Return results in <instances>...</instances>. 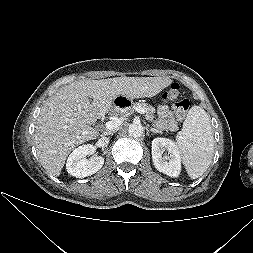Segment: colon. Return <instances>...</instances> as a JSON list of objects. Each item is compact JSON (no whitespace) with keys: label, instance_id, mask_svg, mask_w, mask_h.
Returning <instances> with one entry per match:
<instances>
[{"label":"colon","instance_id":"colon-1","mask_svg":"<svg viewBox=\"0 0 253 253\" xmlns=\"http://www.w3.org/2000/svg\"><path fill=\"white\" fill-rule=\"evenodd\" d=\"M179 85L177 83H173L168 91L164 93V98L172 99L178 95L179 92ZM190 107V101L188 99H182L175 104V112L178 118L183 119L187 111Z\"/></svg>","mask_w":253,"mask_h":253}]
</instances>
